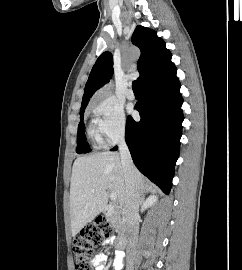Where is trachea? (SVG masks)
I'll use <instances>...</instances> for the list:
<instances>
[{
	"label": "trachea",
	"mask_w": 242,
	"mask_h": 270,
	"mask_svg": "<svg viewBox=\"0 0 242 270\" xmlns=\"http://www.w3.org/2000/svg\"><path fill=\"white\" fill-rule=\"evenodd\" d=\"M132 89L134 92H140V84L138 81H134L132 83Z\"/></svg>",
	"instance_id": "3493384b"
}]
</instances>
